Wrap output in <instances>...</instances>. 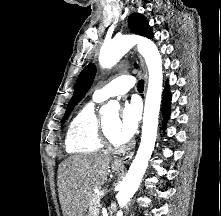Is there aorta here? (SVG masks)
I'll return each mask as SVG.
<instances>
[{
  "instance_id": "obj_1",
  "label": "aorta",
  "mask_w": 221,
  "mask_h": 216,
  "mask_svg": "<svg viewBox=\"0 0 221 216\" xmlns=\"http://www.w3.org/2000/svg\"><path fill=\"white\" fill-rule=\"evenodd\" d=\"M134 45H137L139 53L145 59L149 72V82L145 99L141 143L123 180L121 189L116 195L120 208L125 207L137 191L154 150L163 89L162 58L153 41L135 35L116 36L105 42L100 49L99 56L100 65L110 69ZM118 109V102L111 100L107 105L102 106L100 113L105 116L111 112H117Z\"/></svg>"
}]
</instances>
